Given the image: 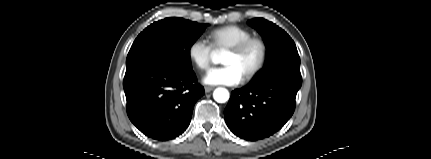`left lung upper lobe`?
Instances as JSON below:
<instances>
[{
  "mask_svg": "<svg viewBox=\"0 0 431 159\" xmlns=\"http://www.w3.org/2000/svg\"><path fill=\"white\" fill-rule=\"evenodd\" d=\"M248 24L260 33L267 48L265 66L251 84L260 83L279 74L301 77L300 57L290 36L263 18L251 19Z\"/></svg>",
  "mask_w": 431,
  "mask_h": 159,
  "instance_id": "1",
  "label": "left lung upper lobe"
}]
</instances>
